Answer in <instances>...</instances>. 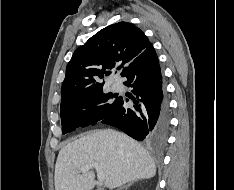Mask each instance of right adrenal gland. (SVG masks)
I'll return each mask as SVG.
<instances>
[{
  "mask_svg": "<svg viewBox=\"0 0 234 190\" xmlns=\"http://www.w3.org/2000/svg\"><path fill=\"white\" fill-rule=\"evenodd\" d=\"M136 181H137V180L130 181V182H128L126 185H124L123 187H121V188L118 189V190L127 189V188L130 187L132 184H134Z\"/></svg>",
  "mask_w": 234,
  "mask_h": 190,
  "instance_id": "right-adrenal-gland-1",
  "label": "right adrenal gland"
}]
</instances>
